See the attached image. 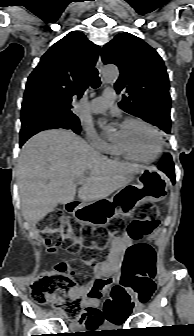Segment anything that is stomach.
Returning a JSON list of instances; mask_svg holds the SVG:
<instances>
[{
	"label": "stomach",
	"mask_w": 194,
	"mask_h": 336,
	"mask_svg": "<svg viewBox=\"0 0 194 336\" xmlns=\"http://www.w3.org/2000/svg\"><path fill=\"white\" fill-rule=\"evenodd\" d=\"M136 180L137 184L121 189L110 200H100L92 205L77 207L73 211L76 221L81 224L104 226L120 213L124 215L132 213L144 202H158L165 199L168 183L156 168L142 167Z\"/></svg>",
	"instance_id": "obj_1"
}]
</instances>
